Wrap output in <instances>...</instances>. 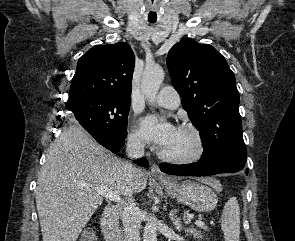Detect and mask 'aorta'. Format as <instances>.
Instances as JSON below:
<instances>
[{"instance_id":"aorta-1","label":"aorta","mask_w":295,"mask_h":241,"mask_svg":"<svg viewBox=\"0 0 295 241\" xmlns=\"http://www.w3.org/2000/svg\"><path fill=\"white\" fill-rule=\"evenodd\" d=\"M164 77L165 73L161 66L152 65L145 67L141 79V90L150 102L154 101ZM143 241H157V223L155 218L150 217L147 220Z\"/></svg>"}]
</instances>
